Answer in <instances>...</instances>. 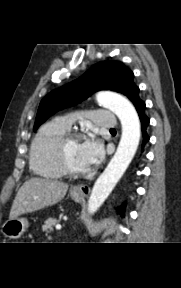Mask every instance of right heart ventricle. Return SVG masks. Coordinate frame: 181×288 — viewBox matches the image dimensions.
I'll return each instance as SVG.
<instances>
[{"instance_id":"obj_1","label":"right heart ventricle","mask_w":181,"mask_h":288,"mask_svg":"<svg viewBox=\"0 0 181 288\" xmlns=\"http://www.w3.org/2000/svg\"><path fill=\"white\" fill-rule=\"evenodd\" d=\"M66 132L67 129L58 121L41 126L32 141L29 155L30 169L34 174L52 180L64 175L57 162L56 147Z\"/></svg>"}]
</instances>
